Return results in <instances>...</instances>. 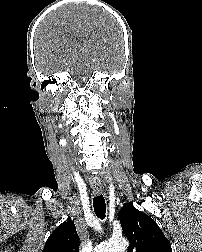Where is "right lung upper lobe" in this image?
I'll use <instances>...</instances> for the list:
<instances>
[{"label":"right lung upper lobe","instance_id":"right-lung-upper-lobe-1","mask_svg":"<svg viewBox=\"0 0 202 252\" xmlns=\"http://www.w3.org/2000/svg\"><path fill=\"white\" fill-rule=\"evenodd\" d=\"M79 237L71 220L60 224L49 236L42 252H78Z\"/></svg>","mask_w":202,"mask_h":252}]
</instances>
